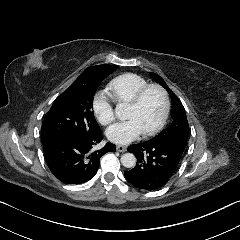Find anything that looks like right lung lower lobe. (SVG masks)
<instances>
[{"label": "right lung lower lobe", "mask_w": 240, "mask_h": 240, "mask_svg": "<svg viewBox=\"0 0 240 240\" xmlns=\"http://www.w3.org/2000/svg\"><path fill=\"white\" fill-rule=\"evenodd\" d=\"M102 139V134L98 133L89 136H58L42 142L50 171L65 184L89 181L97 173L100 158L107 152L116 151L112 143H107L99 150L93 149Z\"/></svg>", "instance_id": "right-lung-lower-lobe-1"}]
</instances>
